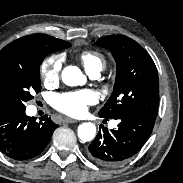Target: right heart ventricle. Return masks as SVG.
<instances>
[{"instance_id":"1","label":"right heart ventricle","mask_w":183,"mask_h":183,"mask_svg":"<svg viewBox=\"0 0 183 183\" xmlns=\"http://www.w3.org/2000/svg\"><path fill=\"white\" fill-rule=\"evenodd\" d=\"M80 61L88 73L96 70L101 71L105 66L104 57L95 51L82 52L80 54Z\"/></svg>"}]
</instances>
